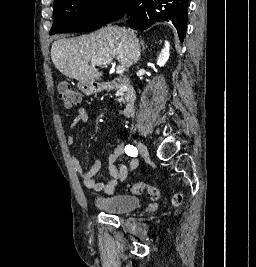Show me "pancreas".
Masks as SVG:
<instances>
[{
  "label": "pancreas",
  "mask_w": 256,
  "mask_h": 267,
  "mask_svg": "<svg viewBox=\"0 0 256 267\" xmlns=\"http://www.w3.org/2000/svg\"><path fill=\"white\" fill-rule=\"evenodd\" d=\"M118 102H123V98H119Z\"/></svg>",
  "instance_id": "obj_1"
}]
</instances>
